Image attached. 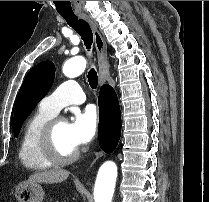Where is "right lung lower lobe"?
Returning a JSON list of instances; mask_svg holds the SVG:
<instances>
[{"label": "right lung lower lobe", "mask_w": 209, "mask_h": 202, "mask_svg": "<svg viewBox=\"0 0 209 202\" xmlns=\"http://www.w3.org/2000/svg\"><path fill=\"white\" fill-rule=\"evenodd\" d=\"M99 142L100 147L111 153L117 146L121 135V113L117 95L109 85H103L99 98Z\"/></svg>", "instance_id": "98d812e1"}]
</instances>
